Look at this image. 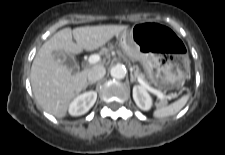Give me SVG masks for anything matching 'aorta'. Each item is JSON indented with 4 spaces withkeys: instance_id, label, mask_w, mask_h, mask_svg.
Masks as SVG:
<instances>
[{
    "instance_id": "aorta-1",
    "label": "aorta",
    "mask_w": 225,
    "mask_h": 155,
    "mask_svg": "<svg viewBox=\"0 0 225 155\" xmlns=\"http://www.w3.org/2000/svg\"><path fill=\"white\" fill-rule=\"evenodd\" d=\"M110 74L113 78L123 79L126 76V68L122 65H116L111 68Z\"/></svg>"
}]
</instances>
